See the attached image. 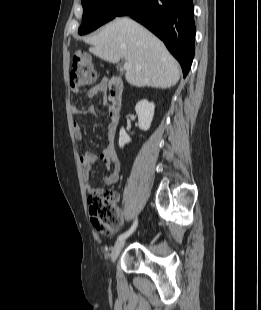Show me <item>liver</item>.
<instances>
[{
	"label": "liver",
	"instance_id": "obj_1",
	"mask_svg": "<svg viewBox=\"0 0 261 310\" xmlns=\"http://www.w3.org/2000/svg\"><path fill=\"white\" fill-rule=\"evenodd\" d=\"M85 41L91 45L89 51L105 61L125 59L131 65L125 79L133 86L166 89L179 81L174 57L154 34L132 19H115Z\"/></svg>",
	"mask_w": 261,
	"mask_h": 310
}]
</instances>
